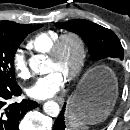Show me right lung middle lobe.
I'll return each instance as SVG.
<instances>
[{
  "instance_id": "dd1d6c3e",
  "label": "right lung middle lobe",
  "mask_w": 130,
  "mask_h": 130,
  "mask_svg": "<svg viewBox=\"0 0 130 130\" xmlns=\"http://www.w3.org/2000/svg\"><path fill=\"white\" fill-rule=\"evenodd\" d=\"M43 25H23L17 30H0V80L9 84L16 83L13 68L14 55L20 43L32 31Z\"/></svg>"
}]
</instances>
